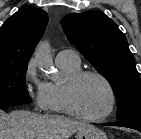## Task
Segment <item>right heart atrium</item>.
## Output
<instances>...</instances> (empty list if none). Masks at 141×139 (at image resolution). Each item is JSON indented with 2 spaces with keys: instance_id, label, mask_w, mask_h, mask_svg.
Returning <instances> with one entry per match:
<instances>
[{
  "instance_id": "right-heart-atrium-1",
  "label": "right heart atrium",
  "mask_w": 141,
  "mask_h": 139,
  "mask_svg": "<svg viewBox=\"0 0 141 139\" xmlns=\"http://www.w3.org/2000/svg\"><path fill=\"white\" fill-rule=\"evenodd\" d=\"M23 81L26 92L36 110H48L46 83L42 82L38 78L36 71V63L33 59L29 60L26 64L23 73Z\"/></svg>"
}]
</instances>
